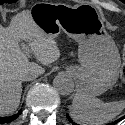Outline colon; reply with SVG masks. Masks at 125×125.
<instances>
[{
    "label": "colon",
    "mask_w": 125,
    "mask_h": 125,
    "mask_svg": "<svg viewBox=\"0 0 125 125\" xmlns=\"http://www.w3.org/2000/svg\"><path fill=\"white\" fill-rule=\"evenodd\" d=\"M121 81L125 84V45L123 47V66L121 70Z\"/></svg>",
    "instance_id": "5ec220e1"
}]
</instances>
